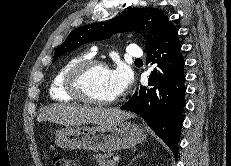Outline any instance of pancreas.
<instances>
[{
  "label": "pancreas",
  "instance_id": "1",
  "mask_svg": "<svg viewBox=\"0 0 231 166\" xmlns=\"http://www.w3.org/2000/svg\"><path fill=\"white\" fill-rule=\"evenodd\" d=\"M94 158L98 166H116V163L112 160H108L109 155L107 154H96L94 155Z\"/></svg>",
  "mask_w": 231,
  "mask_h": 166
}]
</instances>
